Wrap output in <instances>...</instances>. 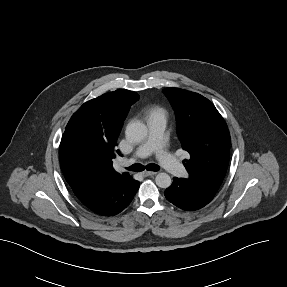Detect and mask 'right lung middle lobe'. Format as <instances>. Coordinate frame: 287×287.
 Returning a JSON list of instances; mask_svg holds the SVG:
<instances>
[{"mask_svg":"<svg viewBox=\"0 0 287 287\" xmlns=\"http://www.w3.org/2000/svg\"><path fill=\"white\" fill-rule=\"evenodd\" d=\"M59 155L62 168L86 167L94 157L91 147L83 140L78 130L69 124L61 139Z\"/></svg>","mask_w":287,"mask_h":287,"instance_id":"1","label":"right lung middle lobe"}]
</instances>
